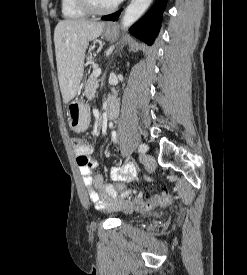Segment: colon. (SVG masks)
Returning <instances> with one entry per match:
<instances>
[{
  "instance_id": "colon-1",
  "label": "colon",
  "mask_w": 247,
  "mask_h": 275,
  "mask_svg": "<svg viewBox=\"0 0 247 275\" xmlns=\"http://www.w3.org/2000/svg\"><path fill=\"white\" fill-rule=\"evenodd\" d=\"M71 143L76 151L84 146L82 139L79 137H73ZM83 160H85L84 157ZM113 188L119 196L125 197L130 203L143 210H150L156 206H166L173 203V196L166 189H163L158 193H153L152 191L136 193L131 192L123 184H115Z\"/></svg>"
}]
</instances>
